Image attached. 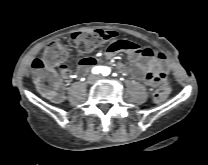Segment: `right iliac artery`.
<instances>
[{
	"label": "right iliac artery",
	"instance_id": "right-iliac-artery-1",
	"mask_svg": "<svg viewBox=\"0 0 208 165\" xmlns=\"http://www.w3.org/2000/svg\"><path fill=\"white\" fill-rule=\"evenodd\" d=\"M103 68H104V67H102V66H96V67H94V68L92 69V72H93L94 74H99V73H101V72L103 71Z\"/></svg>",
	"mask_w": 208,
	"mask_h": 165
}]
</instances>
